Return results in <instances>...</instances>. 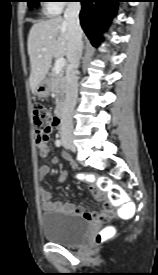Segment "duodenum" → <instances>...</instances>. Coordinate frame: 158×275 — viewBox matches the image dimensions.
<instances>
[{
  "label": "duodenum",
  "mask_w": 158,
  "mask_h": 275,
  "mask_svg": "<svg viewBox=\"0 0 158 275\" xmlns=\"http://www.w3.org/2000/svg\"><path fill=\"white\" fill-rule=\"evenodd\" d=\"M64 114H65V107L63 105V102H60L56 110V118L58 120V123L61 122V120L64 117Z\"/></svg>",
  "instance_id": "obj_1"
}]
</instances>
